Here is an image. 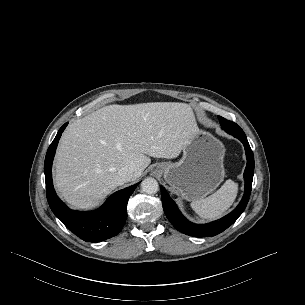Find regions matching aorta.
Wrapping results in <instances>:
<instances>
[{
	"label": "aorta",
	"instance_id": "aorta-1",
	"mask_svg": "<svg viewBox=\"0 0 305 305\" xmlns=\"http://www.w3.org/2000/svg\"><path fill=\"white\" fill-rule=\"evenodd\" d=\"M158 189V182L152 177H147L141 182V190L147 194H154Z\"/></svg>",
	"mask_w": 305,
	"mask_h": 305
}]
</instances>
